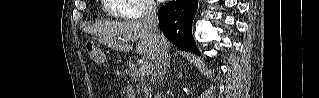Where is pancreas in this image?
<instances>
[{
	"instance_id": "pancreas-1",
	"label": "pancreas",
	"mask_w": 319,
	"mask_h": 98,
	"mask_svg": "<svg viewBox=\"0 0 319 98\" xmlns=\"http://www.w3.org/2000/svg\"><path fill=\"white\" fill-rule=\"evenodd\" d=\"M128 74L136 82L138 93L143 92L147 98L152 92L149 74H141L133 62L129 63Z\"/></svg>"
}]
</instances>
